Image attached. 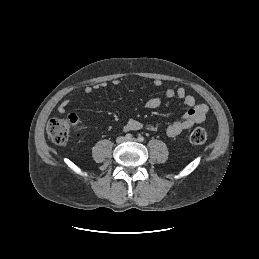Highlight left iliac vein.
<instances>
[{"instance_id":"obj_1","label":"left iliac vein","mask_w":259,"mask_h":259,"mask_svg":"<svg viewBox=\"0 0 259 259\" xmlns=\"http://www.w3.org/2000/svg\"><path fill=\"white\" fill-rule=\"evenodd\" d=\"M128 141H133V142H135V141H137V139L132 138V139H129Z\"/></svg>"}]
</instances>
